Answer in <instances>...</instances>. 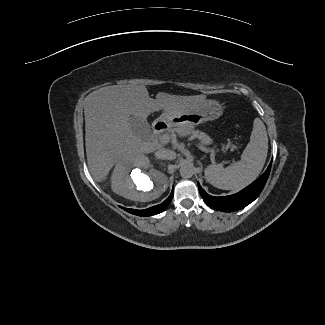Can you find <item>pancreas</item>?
<instances>
[{
    "label": "pancreas",
    "mask_w": 325,
    "mask_h": 325,
    "mask_svg": "<svg viewBox=\"0 0 325 325\" xmlns=\"http://www.w3.org/2000/svg\"><path fill=\"white\" fill-rule=\"evenodd\" d=\"M192 137L199 138L203 145L211 143V138L203 132L194 131Z\"/></svg>",
    "instance_id": "obj_1"
}]
</instances>
